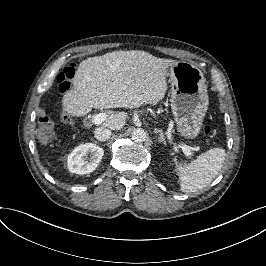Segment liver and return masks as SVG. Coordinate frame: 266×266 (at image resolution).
<instances>
[{
	"label": "liver",
	"mask_w": 266,
	"mask_h": 266,
	"mask_svg": "<svg viewBox=\"0 0 266 266\" xmlns=\"http://www.w3.org/2000/svg\"><path fill=\"white\" fill-rule=\"evenodd\" d=\"M179 63L143 50H117L82 60L75 69L73 89L61 98L63 115L84 117L96 109L154 107L169 88L168 69ZM126 111L105 115L99 127L123 129Z\"/></svg>",
	"instance_id": "1"
}]
</instances>
